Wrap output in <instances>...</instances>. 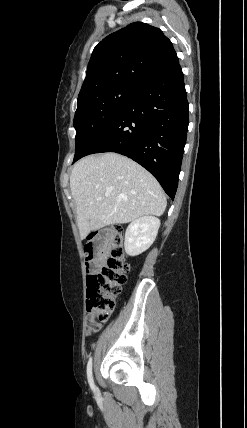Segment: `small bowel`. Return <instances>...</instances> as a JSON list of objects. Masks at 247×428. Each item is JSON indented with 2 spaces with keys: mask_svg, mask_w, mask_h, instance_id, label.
<instances>
[{
  "mask_svg": "<svg viewBox=\"0 0 247 428\" xmlns=\"http://www.w3.org/2000/svg\"><path fill=\"white\" fill-rule=\"evenodd\" d=\"M101 328V324H99L96 329L94 330V332L98 331Z\"/></svg>",
  "mask_w": 247,
  "mask_h": 428,
  "instance_id": "1",
  "label": "small bowel"
}]
</instances>
